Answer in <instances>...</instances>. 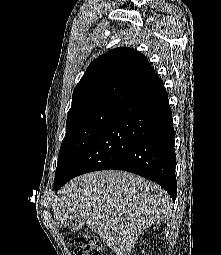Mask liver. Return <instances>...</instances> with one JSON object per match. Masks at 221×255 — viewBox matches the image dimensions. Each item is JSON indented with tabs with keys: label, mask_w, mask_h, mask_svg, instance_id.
I'll return each mask as SVG.
<instances>
[{
	"label": "liver",
	"mask_w": 221,
	"mask_h": 255,
	"mask_svg": "<svg viewBox=\"0 0 221 255\" xmlns=\"http://www.w3.org/2000/svg\"><path fill=\"white\" fill-rule=\"evenodd\" d=\"M53 205L57 226L66 227L81 216L117 255H129L137 238L172 211L170 196L160 186L117 170L73 179L59 190Z\"/></svg>",
	"instance_id": "obj_1"
}]
</instances>
